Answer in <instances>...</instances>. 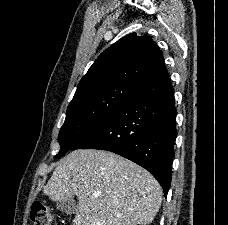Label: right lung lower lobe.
Instances as JSON below:
<instances>
[{"instance_id":"1","label":"right lung lower lobe","mask_w":228,"mask_h":225,"mask_svg":"<svg viewBox=\"0 0 228 225\" xmlns=\"http://www.w3.org/2000/svg\"><path fill=\"white\" fill-rule=\"evenodd\" d=\"M176 115L174 89L164 68L70 150L100 149L121 155L147 169L166 197L177 136Z\"/></svg>"}]
</instances>
